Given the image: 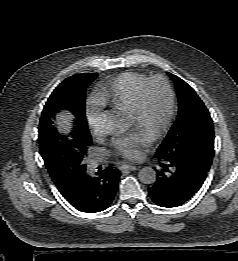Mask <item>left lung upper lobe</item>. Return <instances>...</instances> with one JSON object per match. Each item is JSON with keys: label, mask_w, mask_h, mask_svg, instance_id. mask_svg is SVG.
Instances as JSON below:
<instances>
[{"label": "left lung upper lobe", "mask_w": 238, "mask_h": 261, "mask_svg": "<svg viewBox=\"0 0 238 261\" xmlns=\"http://www.w3.org/2000/svg\"><path fill=\"white\" fill-rule=\"evenodd\" d=\"M176 84L178 115L157 150L160 159L198 163L210 168L214 155V130L210 113L194 89L169 73Z\"/></svg>", "instance_id": "5c2ea615"}]
</instances>
